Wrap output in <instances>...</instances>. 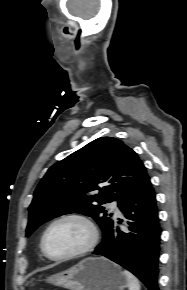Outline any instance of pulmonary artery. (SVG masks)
Here are the masks:
<instances>
[{"label":"pulmonary artery","mask_w":187,"mask_h":290,"mask_svg":"<svg viewBox=\"0 0 187 290\" xmlns=\"http://www.w3.org/2000/svg\"><path fill=\"white\" fill-rule=\"evenodd\" d=\"M111 208L115 211L116 214H121V210L119 209L116 202L111 203Z\"/></svg>","instance_id":"obj_1"}]
</instances>
